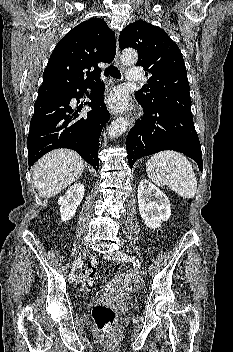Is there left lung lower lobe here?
<instances>
[{"mask_svg":"<svg viewBox=\"0 0 233 352\" xmlns=\"http://www.w3.org/2000/svg\"><path fill=\"white\" fill-rule=\"evenodd\" d=\"M126 138L128 162L132 169L137 159L163 150H175L192 158L203 170L201 145L193 116L163 106H145Z\"/></svg>","mask_w":233,"mask_h":352,"instance_id":"left-lung-lower-lobe-1","label":"left lung lower lobe"}]
</instances>
